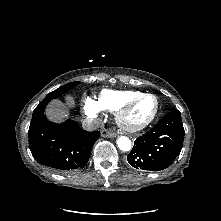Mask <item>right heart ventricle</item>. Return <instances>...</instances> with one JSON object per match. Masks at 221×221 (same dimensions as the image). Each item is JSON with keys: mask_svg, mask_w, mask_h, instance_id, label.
Returning a JSON list of instances; mask_svg holds the SVG:
<instances>
[{"mask_svg": "<svg viewBox=\"0 0 221 221\" xmlns=\"http://www.w3.org/2000/svg\"><path fill=\"white\" fill-rule=\"evenodd\" d=\"M136 90H103L96 100L100 110L116 112L127 100L141 94Z\"/></svg>", "mask_w": 221, "mask_h": 221, "instance_id": "1", "label": "right heart ventricle"}]
</instances>
